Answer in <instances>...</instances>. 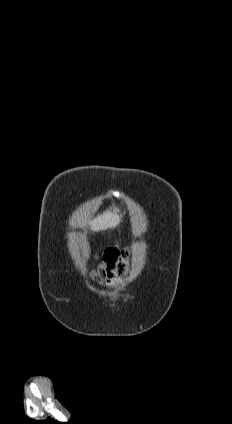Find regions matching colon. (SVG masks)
Returning a JSON list of instances; mask_svg holds the SVG:
<instances>
[{
	"label": "colon",
	"mask_w": 232,
	"mask_h": 424,
	"mask_svg": "<svg viewBox=\"0 0 232 424\" xmlns=\"http://www.w3.org/2000/svg\"><path fill=\"white\" fill-rule=\"evenodd\" d=\"M131 251L128 249L119 251L117 249L106 250L101 257V266L98 272L99 278H115L126 275L129 269Z\"/></svg>",
	"instance_id": "1"
}]
</instances>
